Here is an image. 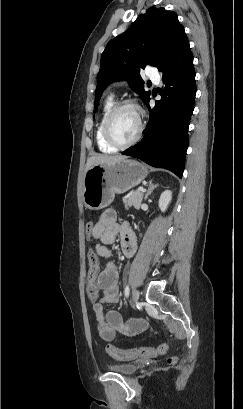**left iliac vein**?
<instances>
[{
	"label": "left iliac vein",
	"instance_id": "1",
	"mask_svg": "<svg viewBox=\"0 0 243 409\" xmlns=\"http://www.w3.org/2000/svg\"><path fill=\"white\" fill-rule=\"evenodd\" d=\"M133 302H137L138 301V293L136 290L133 291V298H132Z\"/></svg>",
	"mask_w": 243,
	"mask_h": 409
}]
</instances>
